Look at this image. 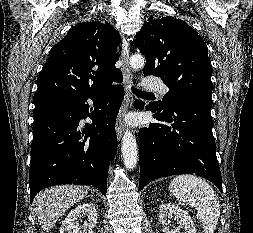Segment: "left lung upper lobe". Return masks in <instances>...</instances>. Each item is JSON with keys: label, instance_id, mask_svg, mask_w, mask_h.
<instances>
[{"label": "left lung upper lobe", "instance_id": "1", "mask_svg": "<svg viewBox=\"0 0 253 233\" xmlns=\"http://www.w3.org/2000/svg\"><path fill=\"white\" fill-rule=\"evenodd\" d=\"M134 45L145 55L144 76L155 75L170 89L156 105L161 109L192 98L212 102V65L203 39L174 17L149 18Z\"/></svg>", "mask_w": 253, "mask_h": 233}]
</instances>
